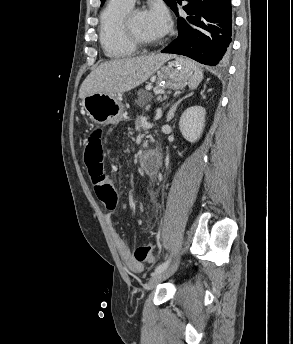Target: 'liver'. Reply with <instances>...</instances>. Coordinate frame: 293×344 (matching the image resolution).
<instances>
[{"instance_id":"6515ba94","label":"liver","mask_w":293,"mask_h":344,"mask_svg":"<svg viewBox=\"0 0 293 344\" xmlns=\"http://www.w3.org/2000/svg\"><path fill=\"white\" fill-rule=\"evenodd\" d=\"M171 58L168 54H151L106 61L84 80L79 97L84 99L94 93L114 95L128 92L145 82Z\"/></svg>"}]
</instances>
